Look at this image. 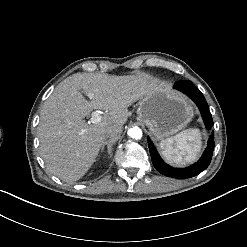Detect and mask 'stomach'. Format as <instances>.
<instances>
[{
    "label": "stomach",
    "instance_id": "0dacf381",
    "mask_svg": "<svg viewBox=\"0 0 247 247\" xmlns=\"http://www.w3.org/2000/svg\"><path fill=\"white\" fill-rule=\"evenodd\" d=\"M137 114L152 135L169 139L192 120L194 109L184 95L160 84L142 98Z\"/></svg>",
    "mask_w": 247,
    "mask_h": 247
}]
</instances>
